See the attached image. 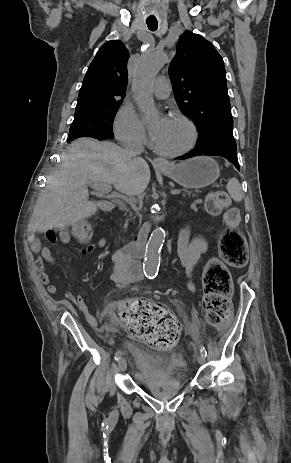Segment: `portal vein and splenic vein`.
<instances>
[{
  "instance_id": "1",
  "label": "portal vein and splenic vein",
  "mask_w": 291,
  "mask_h": 463,
  "mask_svg": "<svg viewBox=\"0 0 291 463\" xmlns=\"http://www.w3.org/2000/svg\"><path fill=\"white\" fill-rule=\"evenodd\" d=\"M92 187L98 191H100L103 194H108L112 191V186L107 183H102V182H96V183H91ZM171 194H179L180 190L179 189H172L170 191Z\"/></svg>"
}]
</instances>
